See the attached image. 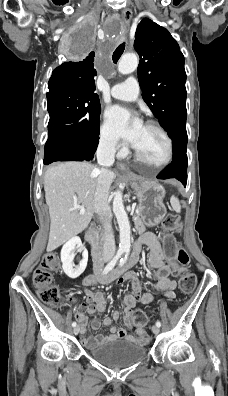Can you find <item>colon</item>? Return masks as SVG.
<instances>
[{
  "instance_id": "5ec220e1",
  "label": "colon",
  "mask_w": 228,
  "mask_h": 396,
  "mask_svg": "<svg viewBox=\"0 0 228 396\" xmlns=\"http://www.w3.org/2000/svg\"><path fill=\"white\" fill-rule=\"evenodd\" d=\"M181 217L177 214H168L162 221L163 230L166 233L165 241L171 259L176 264L175 274L179 277L180 289L184 294H190L196 286V276L189 270V255L180 246L175 244L172 233L180 232ZM60 269L59 256L56 253H46L39 266L33 273V285L38 292L42 302L52 307L63 304V299L59 289L54 284L52 271ZM147 315L142 310H135L131 315L132 323L137 327H142L147 323Z\"/></svg>"
}]
</instances>
